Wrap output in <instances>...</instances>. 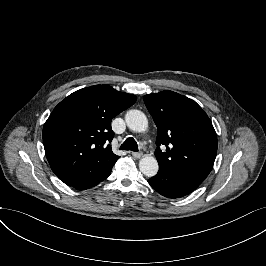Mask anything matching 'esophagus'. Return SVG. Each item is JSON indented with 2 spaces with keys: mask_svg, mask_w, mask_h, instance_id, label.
<instances>
[{
  "mask_svg": "<svg viewBox=\"0 0 266 266\" xmlns=\"http://www.w3.org/2000/svg\"><path fill=\"white\" fill-rule=\"evenodd\" d=\"M132 156L136 159H139L140 157H142L143 153L142 152H132L131 153Z\"/></svg>",
  "mask_w": 266,
  "mask_h": 266,
  "instance_id": "1",
  "label": "esophagus"
}]
</instances>
